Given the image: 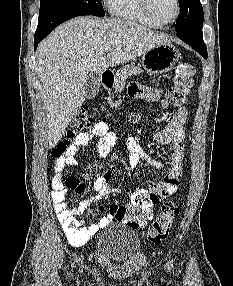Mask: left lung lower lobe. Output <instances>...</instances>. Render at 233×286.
I'll return each mask as SVG.
<instances>
[{"label":"left lung lower lobe","instance_id":"0a47b994","mask_svg":"<svg viewBox=\"0 0 233 286\" xmlns=\"http://www.w3.org/2000/svg\"><path fill=\"white\" fill-rule=\"evenodd\" d=\"M202 27L203 22L200 24L188 26L187 28L178 31L176 36L190 45L205 59H207V48L203 42Z\"/></svg>","mask_w":233,"mask_h":286}]
</instances>
